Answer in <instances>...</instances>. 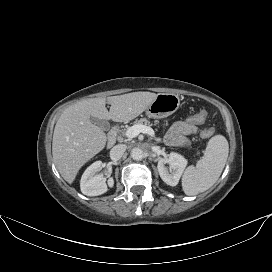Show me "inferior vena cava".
<instances>
[{"mask_svg": "<svg viewBox=\"0 0 272 272\" xmlns=\"http://www.w3.org/2000/svg\"><path fill=\"white\" fill-rule=\"evenodd\" d=\"M125 150H126V145L124 144L115 145L110 151V158L113 161L119 160L124 154Z\"/></svg>", "mask_w": 272, "mask_h": 272, "instance_id": "602c4592", "label": "inferior vena cava"}]
</instances>
